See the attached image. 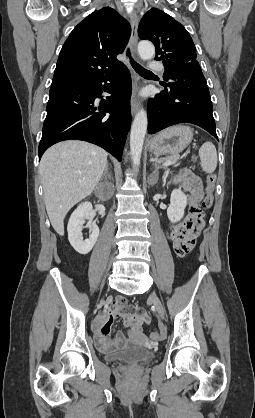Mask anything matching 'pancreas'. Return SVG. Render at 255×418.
I'll list each match as a JSON object with an SVG mask.
<instances>
[{
    "instance_id": "1",
    "label": "pancreas",
    "mask_w": 255,
    "mask_h": 418,
    "mask_svg": "<svg viewBox=\"0 0 255 418\" xmlns=\"http://www.w3.org/2000/svg\"><path fill=\"white\" fill-rule=\"evenodd\" d=\"M179 159V155H169L165 158H161L159 160H157L158 163L163 162V161H167V160H172L173 162H176Z\"/></svg>"
}]
</instances>
